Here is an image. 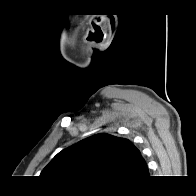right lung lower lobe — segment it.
<instances>
[{
    "mask_svg": "<svg viewBox=\"0 0 196 196\" xmlns=\"http://www.w3.org/2000/svg\"><path fill=\"white\" fill-rule=\"evenodd\" d=\"M136 184H138V182L133 183V184L120 185V186H122V187H128V186H134V185H136Z\"/></svg>",
    "mask_w": 196,
    "mask_h": 196,
    "instance_id": "obj_1",
    "label": "right lung lower lobe"
}]
</instances>
